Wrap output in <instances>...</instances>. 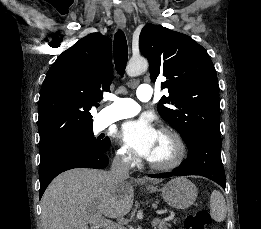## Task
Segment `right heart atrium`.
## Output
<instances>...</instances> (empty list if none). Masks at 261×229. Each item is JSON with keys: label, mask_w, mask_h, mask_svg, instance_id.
Returning <instances> with one entry per match:
<instances>
[{"label": "right heart atrium", "mask_w": 261, "mask_h": 229, "mask_svg": "<svg viewBox=\"0 0 261 229\" xmlns=\"http://www.w3.org/2000/svg\"><path fill=\"white\" fill-rule=\"evenodd\" d=\"M116 161L128 168H134L137 165V159L132 151L125 145L120 146L116 152Z\"/></svg>", "instance_id": "right-heart-atrium-1"}]
</instances>
